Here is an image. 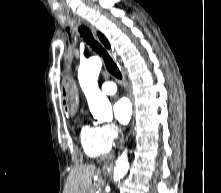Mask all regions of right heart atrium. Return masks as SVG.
I'll return each instance as SVG.
<instances>
[{
  "mask_svg": "<svg viewBox=\"0 0 221 193\" xmlns=\"http://www.w3.org/2000/svg\"><path fill=\"white\" fill-rule=\"evenodd\" d=\"M100 127L102 136L107 142L113 143L119 138L120 130L116 124L106 123Z\"/></svg>",
  "mask_w": 221,
  "mask_h": 193,
  "instance_id": "1",
  "label": "right heart atrium"
}]
</instances>
